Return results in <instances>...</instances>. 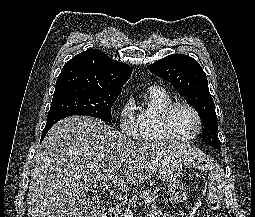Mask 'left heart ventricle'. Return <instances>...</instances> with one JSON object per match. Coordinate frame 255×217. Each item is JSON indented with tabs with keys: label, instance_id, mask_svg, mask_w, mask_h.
<instances>
[{
	"label": "left heart ventricle",
	"instance_id": "b2bd125f",
	"mask_svg": "<svg viewBox=\"0 0 255 217\" xmlns=\"http://www.w3.org/2000/svg\"><path fill=\"white\" fill-rule=\"evenodd\" d=\"M171 126L180 136H191L195 133L198 122L194 113L183 106L177 107L171 115Z\"/></svg>",
	"mask_w": 255,
	"mask_h": 217
}]
</instances>
